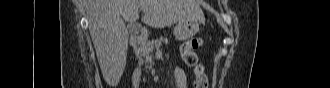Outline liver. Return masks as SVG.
<instances>
[{
	"instance_id": "liver-1",
	"label": "liver",
	"mask_w": 330,
	"mask_h": 88,
	"mask_svg": "<svg viewBox=\"0 0 330 88\" xmlns=\"http://www.w3.org/2000/svg\"><path fill=\"white\" fill-rule=\"evenodd\" d=\"M139 9H146L142 22L164 28L185 20L204 21L196 0H86L85 10L97 59L107 84L116 86L126 66L129 28Z\"/></svg>"
}]
</instances>
